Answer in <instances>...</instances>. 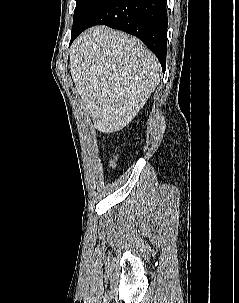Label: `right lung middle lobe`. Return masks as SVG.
I'll use <instances>...</instances> for the list:
<instances>
[{
  "label": "right lung middle lobe",
  "mask_w": 239,
  "mask_h": 303,
  "mask_svg": "<svg viewBox=\"0 0 239 303\" xmlns=\"http://www.w3.org/2000/svg\"><path fill=\"white\" fill-rule=\"evenodd\" d=\"M106 0H77L74 10L72 35L79 32L90 20L94 12Z\"/></svg>",
  "instance_id": "1"
}]
</instances>
